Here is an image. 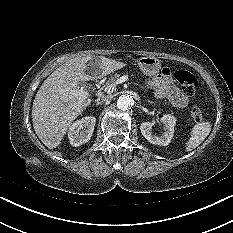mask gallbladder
Here are the masks:
<instances>
[{
    "label": "gallbladder",
    "mask_w": 233,
    "mask_h": 233,
    "mask_svg": "<svg viewBox=\"0 0 233 233\" xmlns=\"http://www.w3.org/2000/svg\"><path fill=\"white\" fill-rule=\"evenodd\" d=\"M100 60L99 57L94 56L89 62H88V68H89V72H92V65H95L98 61Z\"/></svg>",
    "instance_id": "gallbladder-1"
}]
</instances>
